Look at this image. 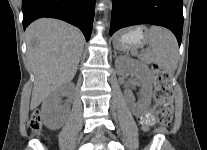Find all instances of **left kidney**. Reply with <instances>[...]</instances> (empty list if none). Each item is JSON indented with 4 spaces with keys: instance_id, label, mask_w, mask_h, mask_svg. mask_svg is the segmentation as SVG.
<instances>
[{
    "instance_id": "obj_1",
    "label": "left kidney",
    "mask_w": 207,
    "mask_h": 150,
    "mask_svg": "<svg viewBox=\"0 0 207 150\" xmlns=\"http://www.w3.org/2000/svg\"><path fill=\"white\" fill-rule=\"evenodd\" d=\"M115 65L118 73L122 75L134 74L142 82L140 102L135 103L130 92H126V97L134 115L139 116L145 113L151 104L153 83L151 71L148 66L126 56L117 58Z\"/></svg>"
}]
</instances>
